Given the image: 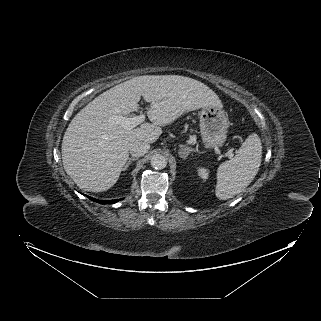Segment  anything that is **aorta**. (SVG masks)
<instances>
[{"label": "aorta", "instance_id": "1", "mask_svg": "<svg viewBox=\"0 0 321 321\" xmlns=\"http://www.w3.org/2000/svg\"><path fill=\"white\" fill-rule=\"evenodd\" d=\"M167 165V159L165 156L157 154L151 158V166L155 169H163Z\"/></svg>", "mask_w": 321, "mask_h": 321}]
</instances>
